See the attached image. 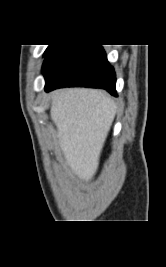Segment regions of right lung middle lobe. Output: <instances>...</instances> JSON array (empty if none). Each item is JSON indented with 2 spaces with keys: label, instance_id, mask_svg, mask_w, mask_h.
<instances>
[{
  "label": "right lung middle lobe",
  "instance_id": "1",
  "mask_svg": "<svg viewBox=\"0 0 166 267\" xmlns=\"http://www.w3.org/2000/svg\"><path fill=\"white\" fill-rule=\"evenodd\" d=\"M54 45H49L48 48L46 49L45 53H44V56L47 55V53L51 50V48L53 47Z\"/></svg>",
  "mask_w": 166,
  "mask_h": 267
}]
</instances>
